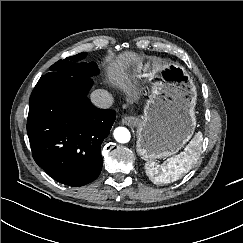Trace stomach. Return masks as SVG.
<instances>
[{
    "label": "stomach",
    "instance_id": "obj_1",
    "mask_svg": "<svg viewBox=\"0 0 243 243\" xmlns=\"http://www.w3.org/2000/svg\"><path fill=\"white\" fill-rule=\"evenodd\" d=\"M151 94L135 120L138 154L145 160L167 158L192 137L196 127V87L180 65L156 61Z\"/></svg>",
    "mask_w": 243,
    "mask_h": 243
}]
</instances>
